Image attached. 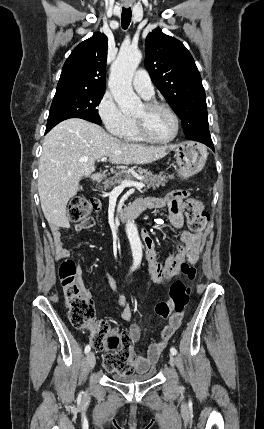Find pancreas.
Masks as SVG:
<instances>
[{
  "instance_id": "pancreas-1",
  "label": "pancreas",
  "mask_w": 264,
  "mask_h": 429,
  "mask_svg": "<svg viewBox=\"0 0 264 429\" xmlns=\"http://www.w3.org/2000/svg\"><path fill=\"white\" fill-rule=\"evenodd\" d=\"M139 174L143 177L142 181L146 183L145 189H155L159 186H165V183L168 181V179H172L171 176L167 177L163 173L153 175L151 172L141 170L139 171ZM122 178H124L125 180L133 179L132 172L127 170L118 171L115 173L114 176L104 180L100 188L104 190H109L116 184L120 183L122 181Z\"/></svg>"
}]
</instances>
